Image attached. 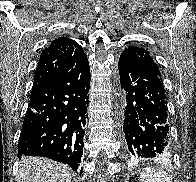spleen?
Segmentation results:
<instances>
[{"label": "spleen", "instance_id": "1", "mask_svg": "<svg viewBox=\"0 0 196 182\" xmlns=\"http://www.w3.org/2000/svg\"><path fill=\"white\" fill-rule=\"evenodd\" d=\"M142 182H170L166 172L158 169L148 168L141 174Z\"/></svg>", "mask_w": 196, "mask_h": 182}]
</instances>
